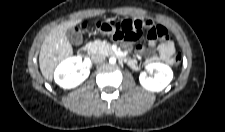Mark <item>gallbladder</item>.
<instances>
[{
  "label": "gallbladder",
  "instance_id": "gallbladder-1",
  "mask_svg": "<svg viewBox=\"0 0 225 132\" xmlns=\"http://www.w3.org/2000/svg\"><path fill=\"white\" fill-rule=\"evenodd\" d=\"M66 36L69 42L73 45H80L83 42V37L81 32L73 28L67 30Z\"/></svg>",
  "mask_w": 225,
  "mask_h": 132
}]
</instances>
